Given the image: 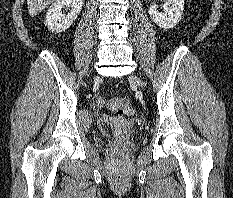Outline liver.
<instances>
[{
    "mask_svg": "<svg viewBox=\"0 0 233 198\" xmlns=\"http://www.w3.org/2000/svg\"><path fill=\"white\" fill-rule=\"evenodd\" d=\"M54 0H27L28 11L31 17L36 16Z\"/></svg>",
    "mask_w": 233,
    "mask_h": 198,
    "instance_id": "1",
    "label": "liver"
}]
</instances>
